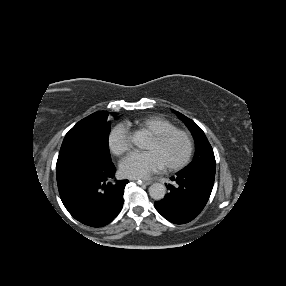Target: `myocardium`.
I'll return each mask as SVG.
<instances>
[{
  "label": "myocardium",
  "mask_w": 286,
  "mask_h": 286,
  "mask_svg": "<svg viewBox=\"0 0 286 286\" xmlns=\"http://www.w3.org/2000/svg\"><path fill=\"white\" fill-rule=\"evenodd\" d=\"M179 133H182L187 137L188 143H189L188 151L186 155L184 156V158L180 160L179 162L163 167L165 171H169V172L178 171L189 163L194 153V148H195L194 138L191 132L185 129H181V128H176V129H172V130H168V131H164V132L152 135V139L154 141L163 142L169 139L171 136L175 134H179Z\"/></svg>",
  "instance_id": "obj_1"
}]
</instances>
